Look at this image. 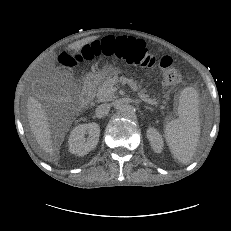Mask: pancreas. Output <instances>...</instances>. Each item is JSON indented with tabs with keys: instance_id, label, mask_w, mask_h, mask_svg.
Returning <instances> with one entry per match:
<instances>
[{
	"instance_id": "pancreas-1",
	"label": "pancreas",
	"mask_w": 231,
	"mask_h": 231,
	"mask_svg": "<svg viewBox=\"0 0 231 231\" xmlns=\"http://www.w3.org/2000/svg\"><path fill=\"white\" fill-rule=\"evenodd\" d=\"M118 82L122 84H128L133 91L138 92L140 99H142L144 102H147L148 104L157 106L158 101L155 98H150L149 95L146 94L145 88H142V86L133 79L126 78L124 76L119 78L116 75L113 77H107L101 84L98 85L97 88L93 89L92 96L95 97L98 102L112 101L115 98V94L112 91V88ZM160 108L164 109L165 107L161 105Z\"/></svg>"
}]
</instances>
